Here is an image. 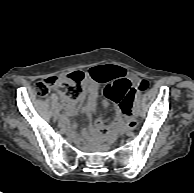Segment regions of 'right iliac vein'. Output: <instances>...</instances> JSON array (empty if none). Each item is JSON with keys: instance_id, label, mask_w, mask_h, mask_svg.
Listing matches in <instances>:
<instances>
[{"instance_id": "obj_1", "label": "right iliac vein", "mask_w": 194, "mask_h": 193, "mask_svg": "<svg viewBox=\"0 0 194 193\" xmlns=\"http://www.w3.org/2000/svg\"><path fill=\"white\" fill-rule=\"evenodd\" d=\"M58 119H59V121H60V120H62V118H61V117H58Z\"/></svg>"}]
</instances>
